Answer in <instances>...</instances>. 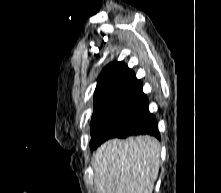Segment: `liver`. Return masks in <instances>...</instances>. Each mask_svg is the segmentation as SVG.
Masks as SVG:
<instances>
[{"mask_svg": "<svg viewBox=\"0 0 221 193\" xmlns=\"http://www.w3.org/2000/svg\"><path fill=\"white\" fill-rule=\"evenodd\" d=\"M160 150L158 140L150 136L102 144L92 158L97 193H152Z\"/></svg>", "mask_w": 221, "mask_h": 193, "instance_id": "obj_1", "label": "liver"}]
</instances>
